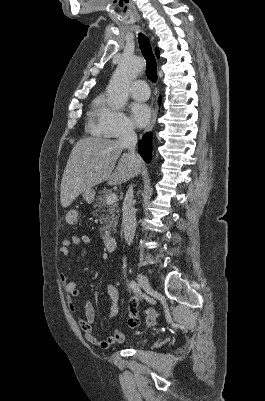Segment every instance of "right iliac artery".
<instances>
[{"label":"right iliac artery","instance_id":"1","mask_svg":"<svg viewBox=\"0 0 265 401\" xmlns=\"http://www.w3.org/2000/svg\"><path fill=\"white\" fill-rule=\"evenodd\" d=\"M129 286H130V288L133 290V292H135V293H137V294H139L141 291H140V288H139V285L135 282V281H131L130 282V284H129Z\"/></svg>","mask_w":265,"mask_h":401}]
</instances>
